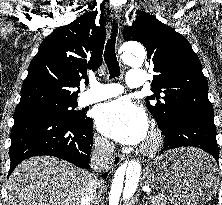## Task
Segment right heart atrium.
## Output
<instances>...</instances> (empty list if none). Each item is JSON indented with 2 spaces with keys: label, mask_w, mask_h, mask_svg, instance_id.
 Listing matches in <instances>:
<instances>
[{
  "label": "right heart atrium",
  "mask_w": 222,
  "mask_h": 205,
  "mask_svg": "<svg viewBox=\"0 0 222 205\" xmlns=\"http://www.w3.org/2000/svg\"><path fill=\"white\" fill-rule=\"evenodd\" d=\"M95 143L98 149L101 150L102 152L108 153L110 151V143L103 136H97L95 139Z\"/></svg>",
  "instance_id": "1"
}]
</instances>
